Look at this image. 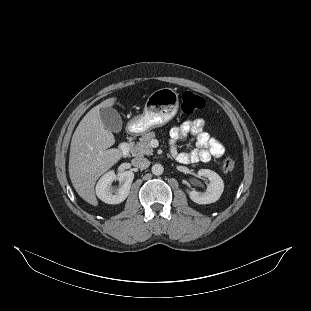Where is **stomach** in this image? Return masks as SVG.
Segmentation results:
<instances>
[{"label":"stomach","mask_w":311,"mask_h":311,"mask_svg":"<svg viewBox=\"0 0 311 311\" xmlns=\"http://www.w3.org/2000/svg\"><path fill=\"white\" fill-rule=\"evenodd\" d=\"M179 109V95L172 88H161L148 98L142 114L127 122L126 132L132 136L144 135L172 120Z\"/></svg>","instance_id":"1"}]
</instances>
